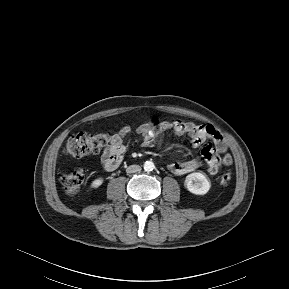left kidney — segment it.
I'll return each mask as SVG.
<instances>
[{
  "label": "left kidney",
  "mask_w": 289,
  "mask_h": 289,
  "mask_svg": "<svg viewBox=\"0 0 289 289\" xmlns=\"http://www.w3.org/2000/svg\"><path fill=\"white\" fill-rule=\"evenodd\" d=\"M184 186L189 192L196 195L206 194L211 187L206 176L200 172H193L187 175Z\"/></svg>",
  "instance_id": "1"
}]
</instances>
